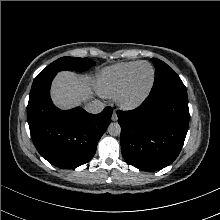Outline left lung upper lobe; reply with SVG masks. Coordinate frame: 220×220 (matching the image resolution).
Instances as JSON below:
<instances>
[{
    "label": "left lung upper lobe",
    "mask_w": 220,
    "mask_h": 220,
    "mask_svg": "<svg viewBox=\"0 0 220 220\" xmlns=\"http://www.w3.org/2000/svg\"><path fill=\"white\" fill-rule=\"evenodd\" d=\"M155 66V83L152 95H171L188 100L186 87L179 76L163 61L152 58Z\"/></svg>",
    "instance_id": "5c2ea615"
}]
</instances>
